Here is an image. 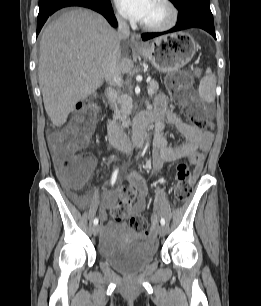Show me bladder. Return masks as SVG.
I'll list each match as a JSON object with an SVG mask.
<instances>
[{
    "mask_svg": "<svg viewBox=\"0 0 261 306\" xmlns=\"http://www.w3.org/2000/svg\"><path fill=\"white\" fill-rule=\"evenodd\" d=\"M157 245L151 239L126 242L116 237L99 246L100 258L110 267L133 274L148 267L156 258Z\"/></svg>",
    "mask_w": 261,
    "mask_h": 306,
    "instance_id": "bladder-1",
    "label": "bladder"
}]
</instances>
